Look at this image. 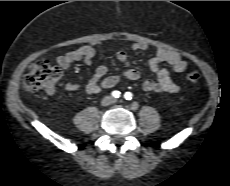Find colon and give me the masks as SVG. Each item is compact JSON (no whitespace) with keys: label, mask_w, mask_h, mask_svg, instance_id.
<instances>
[{"label":"colon","mask_w":230,"mask_h":186,"mask_svg":"<svg viewBox=\"0 0 230 186\" xmlns=\"http://www.w3.org/2000/svg\"><path fill=\"white\" fill-rule=\"evenodd\" d=\"M61 78V70L48 60L40 59L32 63L28 73L23 79V88L28 93L45 90L53 93ZM188 82H200L202 76L197 71H190L185 74Z\"/></svg>","instance_id":"colon-1"}]
</instances>
